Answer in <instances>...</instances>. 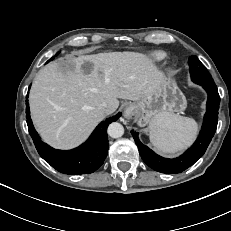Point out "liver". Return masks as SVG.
Segmentation results:
<instances>
[{
    "label": "liver",
    "mask_w": 231,
    "mask_h": 231,
    "mask_svg": "<svg viewBox=\"0 0 231 231\" xmlns=\"http://www.w3.org/2000/svg\"><path fill=\"white\" fill-rule=\"evenodd\" d=\"M165 81L152 59L138 52H109L71 57L41 69L30 91L33 122L43 140L56 149L82 143L111 113L118 99L140 101ZM109 113V114H111Z\"/></svg>",
    "instance_id": "obj_1"
}]
</instances>
